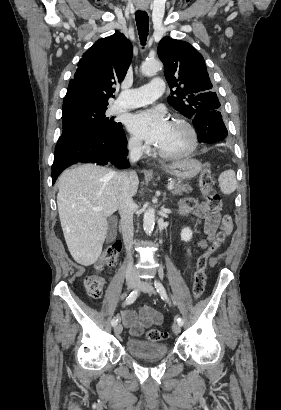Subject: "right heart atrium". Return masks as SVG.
Returning <instances> with one entry per match:
<instances>
[{
    "label": "right heart atrium",
    "instance_id": "1",
    "mask_svg": "<svg viewBox=\"0 0 281 410\" xmlns=\"http://www.w3.org/2000/svg\"><path fill=\"white\" fill-rule=\"evenodd\" d=\"M128 146L134 152H144L147 150V146L136 136H131L129 138Z\"/></svg>",
    "mask_w": 281,
    "mask_h": 410
}]
</instances>
